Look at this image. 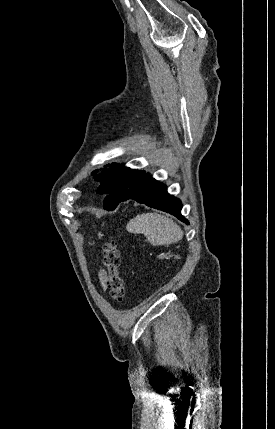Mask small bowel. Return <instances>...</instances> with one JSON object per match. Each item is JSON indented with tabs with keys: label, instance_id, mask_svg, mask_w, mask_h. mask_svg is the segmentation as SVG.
<instances>
[{
	"label": "small bowel",
	"instance_id": "1",
	"mask_svg": "<svg viewBox=\"0 0 275 429\" xmlns=\"http://www.w3.org/2000/svg\"><path fill=\"white\" fill-rule=\"evenodd\" d=\"M99 278H100V281H101L102 285L105 286L106 285V279H107L106 272L103 271V270L100 271Z\"/></svg>",
	"mask_w": 275,
	"mask_h": 429
}]
</instances>
